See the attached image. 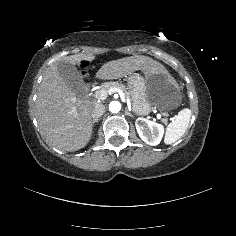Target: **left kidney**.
I'll return each instance as SVG.
<instances>
[{
	"mask_svg": "<svg viewBox=\"0 0 236 236\" xmlns=\"http://www.w3.org/2000/svg\"><path fill=\"white\" fill-rule=\"evenodd\" d=\"M135 126L140 138L146 144L156 146L160 143L164 133L163 125L139 117L136 119Z\"/></svg>",
	"mask_w": 236,
	"mask_h": 236,
	"instance_id": "5707ae66",
	"label": "left kidney"
}]
</instances>
